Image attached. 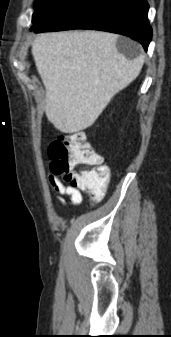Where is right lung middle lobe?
<instances>
[{"instance_id": "dd1d6c3e", "label": "right lung middle lobe", "mask_w": 171, "mask_h": 337, "mask_svg": "<svg viewBox=\"0 0 171 337\" xmlns=\"http://www.w3.org/2000/svg\"><path fill=\"white\" fill-rule=\"evenodd\" d=\"M70 0H35V12L33 14V30L39 24L49 20L57 14Z\"/></svg>"}]
</instances>
